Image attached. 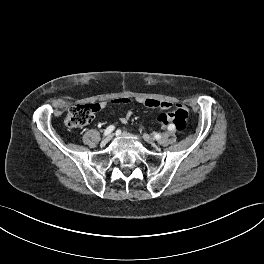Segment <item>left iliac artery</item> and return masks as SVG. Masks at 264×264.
Instances as JSON below:
<instances>
[{"label":"left iliac artery","mask_w":264,"mask_h":264,"mask_svg":"<svg viewBox=\"0 0 264 264\" xmlns=\"http://www.w3.org/2000/svg\"><path fill=\"white\" fill-rule=\"evenodd\" d=\"M168 130H174V125H172V124H170L169 126H168Z\"/></svg>","instance_id":"1"}]
</instances>
